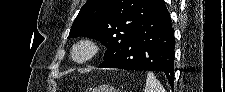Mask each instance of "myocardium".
<instances>
[{"mask_svg":"<svg viewBox=\"0 0 225 92\" xmlns=\"http://www.w3.org/2000/svg\"><path fill=\"white\" fill-rule=\"evenodd\" d=\"M98 44L89 38L78 40L71 49V58L77 64L91 61L98 53Z\"/></svg>","mask_w":225,"mask_h":92,"instance_id":"1","label":"myocardium"}]
</instances>
